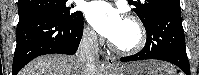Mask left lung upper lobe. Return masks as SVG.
<instances>
[{
    "label": "left lung upper lobe",
    "instance_id": "left-lung-upper-lobe-1",
    "mask_svg": "<svg viewBox=\"0 0 199 75\" xmlns=\"http://www.w3.org/2000/svg\"><path fill=\"white\" fill-rule=\"evenodd\" d=\"M144 25H147L159 9L172 5L180 6V0H128Z\"/></svg>",
    "mask_w": 199,
    "mask_h": 75
}]
</instances>
